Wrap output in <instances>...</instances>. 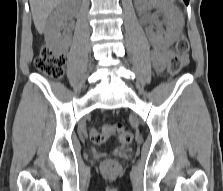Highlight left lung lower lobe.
Segmentation results:
<instances>
[{
    "mask_svg": "<svg viewBox=\"0 0 223 191\" xmlns=\"http://www.w3.org/2000/svg\"><path fill=\"white\" fill-rule=\"evenodd\" d=\"M184 2L188 5V3H189V0H184Z\"/></svg>",
    "mask_w": 223,
    "mask_h": 191,
    "instance_id": "obj_1",
    "label": "left lung lower lobe"
}]
</instances>
